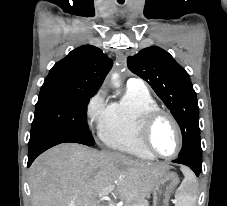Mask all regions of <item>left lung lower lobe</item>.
<instances>
[{"label": "left lung lower lobe", "mask_w": 227, "mask_h": 206, "mask_svg": "<svg viewBox=\"0 0 227 206\" xmlns=\"http://www.w3.org/2000/svg\"><path fill=\"white\" fill-rule=\"evenodd\" d=\"M172 162L190 167L195 172L196 176H199L200 172L202 171V159L193 158L189 155L178 157Z\"/></svg>", "instance_id": "0a47b994"}]
</instances>
